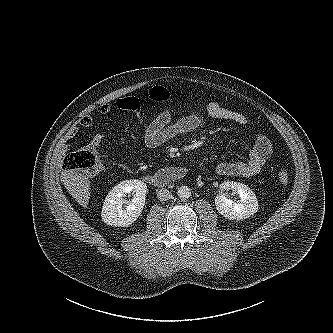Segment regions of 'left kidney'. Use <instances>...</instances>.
<instances>
[{"label":"left kidney","instance_id":"1","mask_svg":"<svg viewBox=\"0 0 333 333\" xmlns=\"http://www.w3.org/2000/svg\"><path fill=\"white\" fill-rule=\"evenodd\" d=\"M223 190L231 189L237 193L240 200L233 201L226 197L224 193H219L215 197V206L218 212L230 220H243L258 211V200L254 192L245 184L233 181H225L220 185Z\"/></svg>","mask_w":333,"mask_h":333}]
</instances>
